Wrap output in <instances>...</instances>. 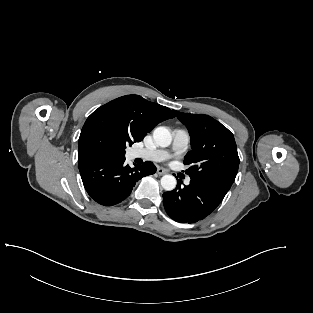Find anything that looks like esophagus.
I'll return each instance as SVG.
<instances>
[{
	"label": "esophagus",
	"instance_id": "34e87169",
	"mask_svg": "<svg viewBox=\"0 0 313 313\" xmlns=\"http://www.w3.org/2000/svg\"><path fill=\"white\" fill-rule=\"evenodd\" d=\"M157 174L160 175V176L164 175V174H167V170L162 168V167H158L157 168Z\"/></svg>",
	"mask_w": 313,
	"mask_h": 313
}]
</instances>
